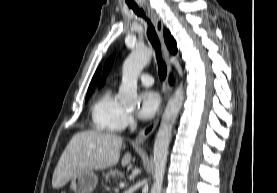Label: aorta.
Returning <instances> with one entry per match:
<instances>
[{
    "instance_id": "1",
    "label": "aorta",
    "mask_w": 277,
    "mask_h": 193,
    "mask_svg": "<svg viewBox=\"0 0 277 193\" xmlns=\"http://www.w3.org/2000/svg\"><path fill=\"white\" fill-rule=\"evenodd\" d=\"M151 56L152 50L150 48L139 47L133 50L124 61L122 67V83L119 88V99L122 103L131 107L139 104L137 81L141 71L150 61ZM183 100L184 89L180 85L167 103L156 135L153 148L155 173L151 193H161L172 128L181 109Z\"/></svg>"
}]
</instances>
